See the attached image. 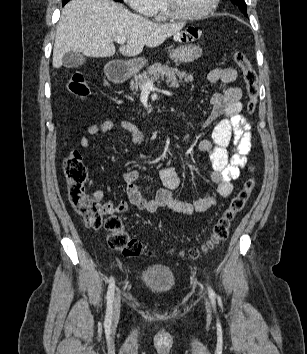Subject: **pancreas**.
I'll use <instances>...</instances> for the list:
<instances>
[{
  "mask_svg": "<svg viewBox=\"0 0 307 354\" xmlns=\"http://www.w3.org/2000/svg\"><path fill=\"white\" fill-rule=\"evenodd\" d=\"M154 80L165 81L170 87H179L183 81H193V76L186 72H182L177 68L155 63L154 65L149 66L146 71L136 75L134 79L131 80L130 89L133 91V94H136V92L142 90V87L147 81L153 82Z\"/></svg>",
  "mask_w": 307,
  "mask_h": 354,
  "instance_id": "pancreas-1",
  "label": "pancreas"
}]
</instances>
